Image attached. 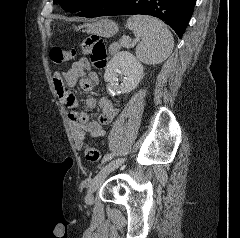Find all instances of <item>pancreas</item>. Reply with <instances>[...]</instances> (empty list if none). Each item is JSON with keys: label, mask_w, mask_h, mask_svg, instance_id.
Segmentation results:
<instances>
[{"label": "pancreas", "mask_w": 240, "mask_h": 238, "mask_svg": "<svg viewBox=\"0 0 240 238\" xmlns=\"http://www.w3.org/2000/svg\"><path fill=\"white\" fill-rule=\"evenodd\" d=\"M121 46H122L121 42H119V43H118V42L112 43V44L109 46V49H108L109 54H110V55L115 54L116 52H118V51L120 50Z\"/></svg>", "instance_id": "pancreas-1"}]
</instances>
